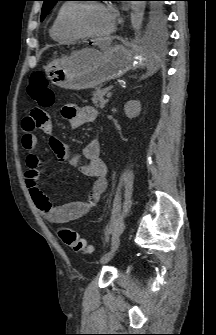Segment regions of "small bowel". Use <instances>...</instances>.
<instances>
[{"mask_svg":"<svg viewBox=\"0 0 216 335\" xmlns=\"http://www.w3.org/2000/svg\"><path fill=\"white\" fill-rule=\"evenodd\" d=\"M62 114L69 120L70 126L77 129L86 123L93 122L97 117V110L92 106L80 107L68 104L63 108ZM50 119L51 114L48 108H40V105L31 108L29 117L22 123L21 144L27 153L25 157L26 183L34 204L50 223L63 224L81 218L96 206L107 188L106 166L101 158L100 144L97 139H91L81 153H76L62 141L51 138V148L60 161L75 165L85 177L94 180L86 199L60 206L53 205L40 181L41 161L37 155L39 140L34 133L35 130H40L44 134L51 135L53 126Z\"/></svg>","mask_w":216,"mask_h":335,"instance_id":"c3829d8e","label":"small bowel"}]
</instances>
